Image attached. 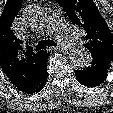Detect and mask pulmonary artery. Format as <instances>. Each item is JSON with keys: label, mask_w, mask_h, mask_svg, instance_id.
<instances>
[{"label": "pulmonary artery", "mask_w": 113, "mask_h": 113, "mask_svg": "<svg viewBox=\"0 0 113 113\" xmlns=\"http://www.w3.org/2000/svg\"><path fill=\"white\" fill-rule=\"evenodd\" d=\"M48 21L50 30L59 32L62 42H64L67 46L72 47L79 43L77 37L68 31L62 19L56 12H50Z\"/></svg>", "instance_id": "1"}]
</instances>
